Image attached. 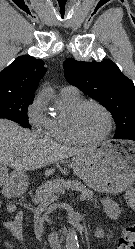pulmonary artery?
I'll return each instance as SVG.
<instances>
[{
    "instance_id": "1",
    "label": "pulmonary artery",
    "mask_w": 135,
    "mask_h": 249,
    "mask_svg": "<svg viewBox=\"0 0 135 249\" xmlns=\"http://www.w3.org/2000/svg\"><path fill=\"white\" fill-rule=\"evenodd\" d=\"M60 95L70 96V97H79L80 92H79L78 88H76L74 86H64L60 90Z\"/></svg>"
}]
</instances>
